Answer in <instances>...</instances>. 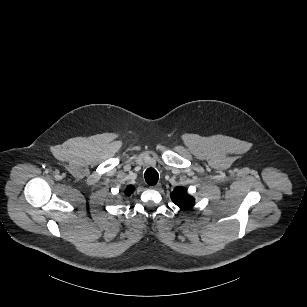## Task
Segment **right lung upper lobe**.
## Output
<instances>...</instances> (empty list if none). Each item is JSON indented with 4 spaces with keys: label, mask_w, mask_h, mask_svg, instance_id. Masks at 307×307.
I'll use <instances>...</instances> for the list:
<instances>
[{
    "label": "right lung upper lobe",
    "mask_w": 307,
    "mask_h": 307,
    "mask_svg": "<svg viewBox=\"0 0 307 307\" xmlns=\"http://www.w3.org/2000/svg\"><path fill=\"white\" fill-rule=\"evenodd\" d=\"M133 191H134V187L132 185H129L125 190V194L130 195Z\"/></svg>",
    "instance_id": "right-lung-upper-lobe-1"
}]
</instances>
